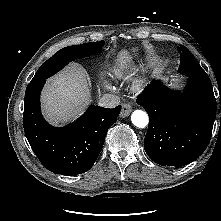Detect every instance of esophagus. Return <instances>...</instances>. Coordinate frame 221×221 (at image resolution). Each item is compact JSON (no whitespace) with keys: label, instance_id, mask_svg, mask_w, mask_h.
I'll use <instances>...</instances> for the list:
<instances>
[{"label":"esophagus","instance_id":"obj_1","mask_svg":"<svg viewBox=\"0 0 221 221\" xmlns=\"http://www.w3.org/2000/svg\"><path fill=\"white\" fill-rule=\"evenodd\" d=\"M131 111H132L131 105L128 103H125L122 105V110H121L120 116L122 118H125L131 113Z\"/></svg>","mask_w":221,"mask_h":221}]
</instances>
